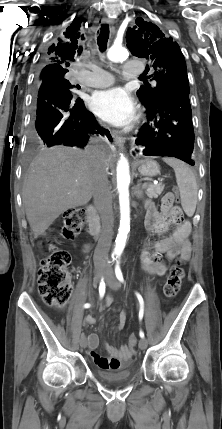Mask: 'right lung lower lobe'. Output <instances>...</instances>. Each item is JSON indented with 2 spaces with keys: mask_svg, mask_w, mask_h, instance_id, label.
I'll use <instances>...</instances> for the list:
<instances>
[{
  "mask_svg": "<svg viewBox=\"0 0 222 429\" xmlns=\"http://www.w3.org/2000/svg\"><path fill=\"white\" fill-rule=\"evenodd\" d=\"M35 131L48 147L59 144L83 147L93 133L112 140L110 132L96 122L82 99L49 78L38 84Z\"/></svg>",
  "mask_w": 222,
  "mask_h": 429,
  "instance_id": "98d812e1",
  "label": "right lung lower lobe"
}]
</instances>
